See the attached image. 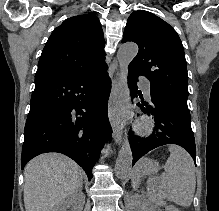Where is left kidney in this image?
<instances>
[{
  "mask_svg": "<svg viewBox=\"0 0 219 211\" xmlns=\"http://www.w3.org/2000/svg\"><path fill=\"white\" fill-rule=\"evenodd\" d=\"M136 199H139V197H137V195H136ZM155 211H159V209H155Z\"/></svg>",
  "mask_w": 219,
  "mask_h": 211,
  "instance_id": "5707ae66",
  "label": "left kidney"
}]
</instances>
